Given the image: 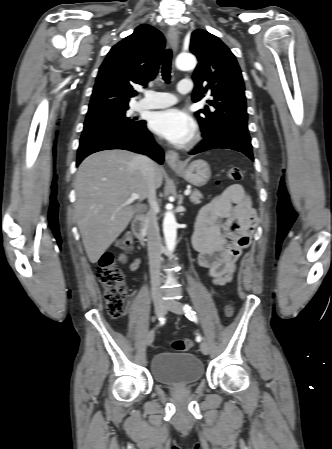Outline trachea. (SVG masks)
<instances>
[{
    "label": "trachea",
    "instance_id": "trachea-1",
    "mask_svg": "<svg viewBox=\"0 0 332 449\" xmlns=\"http://www.w3.org/2000/svg\"><path fill=\"white\" fill-rule=\"evenodd\" d=\"M171 61H172V51L168 49L164 55L163 63H162V78L168 83L171 77Z\"/></svg>",
    "mask_w": 332,
    "mask_h": 449
}]
</instances>
